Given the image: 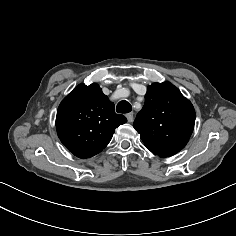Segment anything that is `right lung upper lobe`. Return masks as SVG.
Instances as JSON below:
<instances>
[{
    "label": "right lung upper lobe",
    "mask_w": 236,
    "mask_h": 236,
    "mask_svg": "<svg viewBox=\"0 0 236 236\" xmlns=\"http://www.w3.org/2000/svg\"><path fill=\"white\" fill-rule=\"evenodd\" d=\"M127 119L114 111L98 84H80L60 103L56 116L58 137L79 158H90L110 142Z\"/></svg>",
    "instance_id": "cb5924a9"
}]
</instances>
